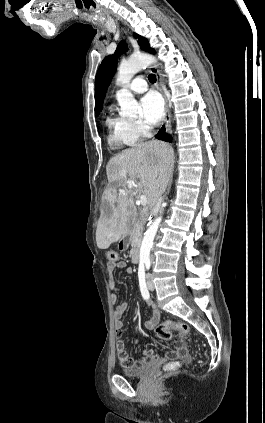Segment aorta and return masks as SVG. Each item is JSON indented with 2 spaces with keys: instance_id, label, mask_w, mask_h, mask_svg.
I'll return each mask as SVG.
<instances>
[{
  "instance_id": "1",
  "label": "aorta",
  "mask_w": 265,
  "mask_h": 423,
  "mask_svg": "<svg viewBox=\"0 0 265 423\" xmlns=\"http://www.w3.org/2000/svg\"><path fill=\"white\" fill-rule=\"evenodd\" d=\"M156 62V58L148 54L132 55L127 61L120 64L118 69L117 82L123 89L117 93V101L120 106V114L123 116H134L137 114L139 104L134 98L133 94L125 88L132 77L144 67ZM162 221V216H158L146 230L141 248H140V264L150 263V251L153 246V241L156 236L159 225Z\"/></svg>"
}]
</instances>
